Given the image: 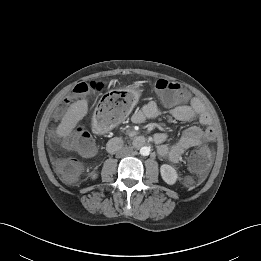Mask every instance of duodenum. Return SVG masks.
<instances>
[{"label":"duodenum","instance_id":"duodenum-1","mask_svg":"<svg viewBox=\"0 0 261 261\" xmlns=\"http://www.w3.org/2000/svg\"><path fill=\"white\" fill-rule=\"evenodd\" d=\"M146 143V139L144 136H136L133 139V144L135 146H142ZM123 146V140L119 137L112 138L107 143V151L108 152H115L122 148Z\"/></svg>","mask_w":261,"mask_h":261}]
</instances>
